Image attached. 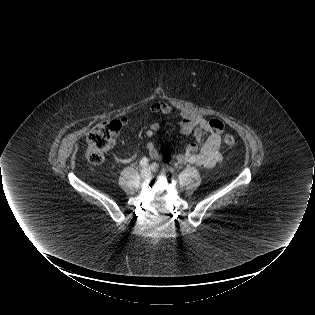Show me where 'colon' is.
Segmentation results:
<instances>
[{
    "label": "colon",
    "instance_id": "colon-1",
    "mask_svg": "<svg viewBox=\"0 0 315 315\" xmlns=\"http://www.w3.org/2000/svg\"><path fill=\"white\" fill-rule=\"evenodd\" d=\"M121 127L117 120L101 123L91 130L86 140V155L91 164L97 165L103 161L106 152L113 146ZM223 142L229 148H234L236 145L235 138L230 134L223 137Z\"/></svg>",
    "mask_w": 315,
    "mask_h": 315
}]
</instances>
